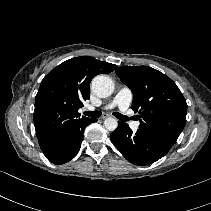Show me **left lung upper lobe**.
Instances as JSON below:
<instances>
[{
    "label": "left lung upper lobe",
    "mask_w": 211,
    "mask_h": 211,
    "mask_svg": "<svg viewBox=\"0 0 211 211\" xmlns=\"http://www.w3.org/2000/svg\"><path fill=\"white\" fill-rule=\"evenodd\" d=\"M116 74L133 93L132 109L139 112V129L169 151L186 123L187 103L177 85L148 66H122Z\"/></svg>",
    "instance_id": "1"
}]
</instances>
